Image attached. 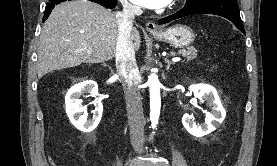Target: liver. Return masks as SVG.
<instances>
[{
    "label": "liver",
    "instance_id": "obj_1",
    "mask_svg": "<svg viewBox=\"0 0 277 166\" xmlns=\"http://www.w3.org/2000/svg\"><path fill=\"white\" fill-rule=\"evenodd\" d=\"M117 39L114 12L88 0L63 2L55 6L41 31L38 78L82 63L109 61L116 54ZM131 41L133 49L138 51L141 38L135 27L131 29Z\"/></svg>",
    "mask_w": 277,
    "mask_h": 166
}]
</instances>
